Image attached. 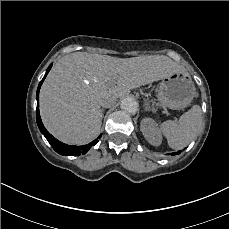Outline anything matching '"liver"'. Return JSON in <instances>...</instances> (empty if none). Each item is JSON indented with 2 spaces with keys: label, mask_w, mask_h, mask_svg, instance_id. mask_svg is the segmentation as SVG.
<instances>
[{
  "label": "liver",
  "mask_w": 229,
  "mask_h": 229,
  "mask_svg": "<svg viewBox=\"0 0 229 229\" xmlns=\"http://www.w3.org/2000/svg\"><path fill=\"white\" fill-rule=\"evenodd\" d=\"M174 73L189 74L166 56L66 55L53 66L41 87L42 122L58 140L86 144L100 133L104 101L114 105L131 89Z\"/></svg>",
  "instance_id": "6515ba94"
}]
</instances>
